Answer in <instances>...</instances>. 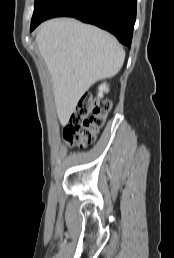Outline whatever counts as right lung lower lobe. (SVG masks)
<instances>
[{"mask_svg":"<svg viewBox=\"0 0 174 258\" xmlns=\"http://www.w3.org/2000/svg\"><path fill=\"white\" fill-rule=\"evenodd\" d=\"M67 16L114 34L130 48L136 20V0H60L44 20Z\"/></svg>","mask_w":174,"mask_h":258,"instance_id":"obj_1","label":"right lung lower lobe"}]
</instances>
